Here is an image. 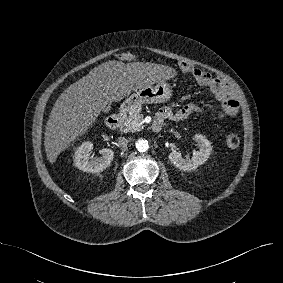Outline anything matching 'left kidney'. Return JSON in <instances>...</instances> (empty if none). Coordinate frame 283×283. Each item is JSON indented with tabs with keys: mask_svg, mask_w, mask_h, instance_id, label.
<instances>
[{
	"mask_svg": "<svg viewBox=\"0 0 283 283\" xmlns=\"http://www.w3.org/2000/svg\"><path fill=\"white\" fill-rule=\"evenodd\" d=\"M193 139L197 142L199 150L193 152L191 159H184L181 153L176 150L172 151L168 156L170 162L180 170L191 171L196 169L208 160L212 152L211 143L205 136L195 134Z\"/></svg>",
	"mask_w": 283,
	"mask_h": 283,
	"instance_id": "5707ae66",
	"label": "left kidney"
}]
</instances>
